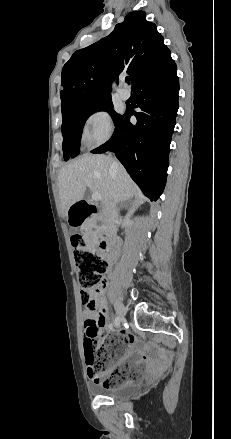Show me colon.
I'll return each mask as SVG.
<instances>
[{"instance_id":"5ec220e1","label":"colon","mask_w":231,"mask_h":439,"mask_svg":"<svg viewBox=\"0 0 231 439\" xmlns=\"http://www.w3.org/2000/svg\"><path fill=\"white\" fill-rule=\"evenodd\" d=\"M75 268L80 282L82 301L87 306H95L92 294L105 284L108 269L107 262L101 255L92 250L81 235L71 237ZM123 337L108 336L94 345L84 344L85 359L88 372L95 381L104 386L115 387L126 380V370L119 368L107 374L109 367L126 347Z\"/></svg>"}]
</instances>
